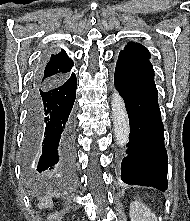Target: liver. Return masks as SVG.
<instances>
[{
  "instance_id": "obj_1",
  "label": "liver",
  "mask_w": 190,
  "mask_h": 221,
  "mask_svg": "<svg viewBox=\"0 0 190 221\" xmlns=\"http://www.w3.org/2000/svg\"><path fill=\"white\" fill-rule=\"evenodd\" d=\"M52 205H53L52 200L50 198H45V199L41 200L39 207L47 206V207L51 208Z\"/></svg>"
}]
</instances>
